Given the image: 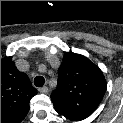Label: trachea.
<instances>
[{"instance_id": "1", "label": "trachea", "mask_w": 123, "mask_h": 123, "mask_svg": "<svg viewBox=\"0 0 123 123\" xmlns=\"http://www.w3.org/2000/svg\"><path fill=\"white\" fill-rule=\"evenodd\" d=\"M45 83V79L42 77V76H37L35 79H34V85L36 87H42Z\"/></svg>"}]
</instances>
